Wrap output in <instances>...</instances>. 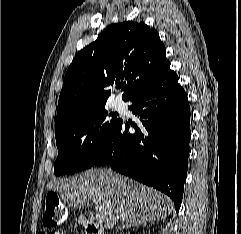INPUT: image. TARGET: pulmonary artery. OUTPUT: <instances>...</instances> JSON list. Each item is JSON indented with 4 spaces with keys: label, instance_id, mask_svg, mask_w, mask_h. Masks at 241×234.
<instances>
[{
    "label": "pulmonary artery",
    "instance_id": "pulmonary-artery-1",
    "mask_svg": "<svg viewBox=\"0 0 241 234\" xmlns=\"http://www.w3.org/2000/svg\"><path fill=\"white\" fill-rule=\"evenodd\" d=\"M114 107L117 109V110H121L124 108V103L121 99L117 98L115 99L114 101Z\"/></svg>",
    "mask_w": 241,
    "mask_h": 234
}]
</instances>
